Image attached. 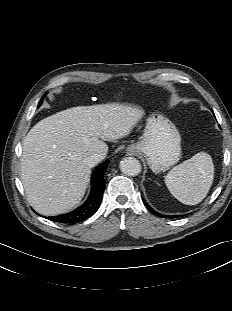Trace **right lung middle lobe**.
I'll return each mask as SVG.
<instances>
[{"label": "right lung middle lobe", "instance_id": "obj_1", "mask_svg": "<svg viewBox=\"0 0 232 311\" xmlns=\"http://www.w3.org/2000/svg\"><path fill=\"white\" fill-rule=\"evenodd\" d=\"M41 103H42V100L40 101V103H39V105H38V106H40V105H41Z\"/></svg>", "mask_w": 232, "mask_h": 311}]
</instances>
